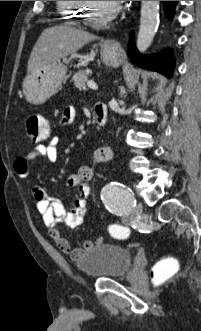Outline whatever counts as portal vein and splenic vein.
Wrapping results in <instances>:
<instances>
[{
    "mask_svg": "<svg viewBox=\"0 0 201 331\" xmlns=\"http://www.w3.org/2000/svg\"><path fill=\"white\" fill-rule=\"evenodd\" d=\"M87 86H88L89 88L93 89V90H97V89H98V86H97L96 83L93 82V81H88V82H87Z\"/></svg>",
    "mask_w": 201,
    "mask_h": 331,
    "instance_id": "1",
    "label": "portal vein and splenic vein"
}]
</instances>
